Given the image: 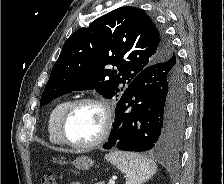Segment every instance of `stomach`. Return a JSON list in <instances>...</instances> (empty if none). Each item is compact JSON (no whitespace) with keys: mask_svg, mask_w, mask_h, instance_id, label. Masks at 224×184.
I'll return each instance as SVG.
<instances>
[{"mask_svg":"<svg viewBox=\"0 0 224 184\" xmlns=\"http://www.w3.org/2000/svg\"><path fill=\"white\" fill-rule=\"evenodd\" d=\"M72 164L77 169L88 170L90 167L94 165V161L87 156H81V157H78L76 160H74Z\"/></svg>","mask_w":224,"mask_h":184,"instance_id":"stomach-1","label":"stomach"}]
</instances>
